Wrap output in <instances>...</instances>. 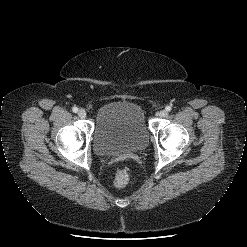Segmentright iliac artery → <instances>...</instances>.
Instances as JSON below:
<instances>
[{"label":"right iliac artery","mask_w":247,"mask_h":247,"mask_svg":"<svg viewBox=\"0 0 247 247\" xmlns=\"http://www.w3.org/2000/svg\"><path fill=\"white\" fill-rule=\"evenodd\" d=\"M72 111H73L74 113H77V112H78V108H77V107H73V108H72Z\"/></svg>","instance_id":"82829eb1"}]
</instances>
